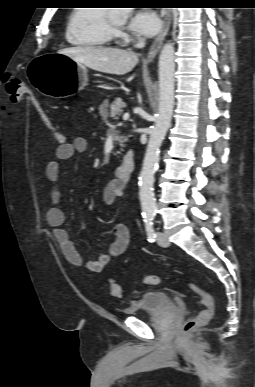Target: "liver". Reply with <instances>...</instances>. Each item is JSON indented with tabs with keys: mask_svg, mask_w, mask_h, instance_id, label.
I'll return each mask as SVG.
<instances>
[{
	"mask_svg": "<svg viewBox=\"0 0 255 387\" xmlns=\"http://www.w3.org/2000/svg\"><path fill=\"white\" fill-rule=\"evenodd\" d=\"M58 54L66 55L92 70L114 75L131 72L139 61L133 51L118 48L72 47L61 49Z\"/></svg>",
	"mask_w": 255,
	"mask_h": 387,
	"instance_id": "6515ba94",
	"label": "liver"
}]
</instances>
